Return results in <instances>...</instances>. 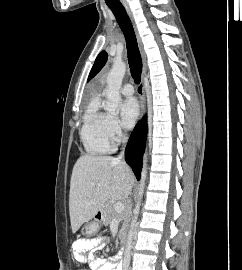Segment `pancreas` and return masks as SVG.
<instances>
[{
    "instance_id": "cf45deb5",
    "label": "pancreas",
    "mask_w": 242,
    "mask_h": 270,
    "mask_svg": "<svg viewBox=\"0 0 242 270\" xmlns=\"http://www.w3.org/2000/svg\"><path fill=\"white\" fill-rule=\"evenodd\" d=\"M105 213V223H110L113 219H117L119 222L122 223V230H124L128 223V214L126 211H122L118 213L115 211L114 203L110 202L107 203L104 207Z\"/></svg>"
}]
</instances>
